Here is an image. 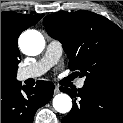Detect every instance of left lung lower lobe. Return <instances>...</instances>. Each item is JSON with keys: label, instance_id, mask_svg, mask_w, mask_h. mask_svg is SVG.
<instances>
[{"label": "left lung lower lobe", "instance_id": "1", "mask_svg": "<svg viewBox=\"0 0 123 123\" xmlns=\"http://www.w3.org/2000/svg\"><path fill=\"white\" fill-rule=\"evenodd\" d=\"M60 90L74 99L61 123H123V88L84 83L78 90Z\"/></svg>", "mask_w": 123, "mask_h": 123}]
</instances>
